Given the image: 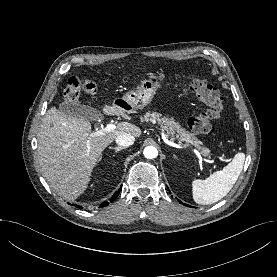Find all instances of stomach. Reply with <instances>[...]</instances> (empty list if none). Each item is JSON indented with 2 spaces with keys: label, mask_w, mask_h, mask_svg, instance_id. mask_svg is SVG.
<instances>
[{
  "label": "stomach",
  "mask_w": 277,
  "mask_h": 277,
  "mask_svg": "<svg viewBox=\"0 0 277 277\" xmlns=\"http://www.w3.org/2000/svg\"><path fill=\"white\" fill-rule=\"evenodd\" d=\"M162 77L153 74L148 79L141 81L137 90L129 91L123 97L115 98L113 105H117L126 111L142 109L153 99L156 91L161 87Z\"/></svg>",
  "instance_id": "obj_1"
}]
</instances>
